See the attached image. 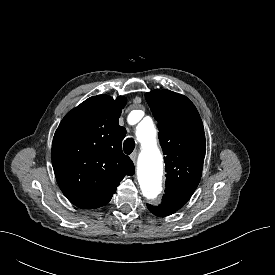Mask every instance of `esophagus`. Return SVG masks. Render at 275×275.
<instances>
[{
	"instance_id": "obj_1",
	"label": "esophagus",
	"mask_w": 275,
	"mask_h": 275,
	"mask_svg": "<svg viewBox=\"0 0 275 275\" xmlns=\"http://www.w3.org/2000/svg\"><path fill=\"white\" fill-rule=\"evenodd\" d=\"M137 155H138L137 152H133V153L130 155V158H131V160H132L134 163H136V161H137Z\"/></svg>"
}]
</instances>
